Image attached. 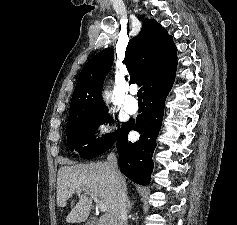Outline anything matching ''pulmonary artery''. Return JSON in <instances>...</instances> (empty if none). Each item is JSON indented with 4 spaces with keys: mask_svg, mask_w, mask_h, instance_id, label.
I'll use <instances>...</instances> for the list:
<instances>
[{
    "mask_svg": "<svg viewBox=\"0 0 237 225\" xmlns=\"http://www.w3.org/2000/svg\"><path fill=\"white\" fill-rule=\"evenodd\" d=\"M134 94L135 89H131L129 95L125 100L124 108L129 114H135L138 110V102L135 99Z\"/></svg>",
    "mask_w": 237,
    "mask_h": 225,
    "instance_id": "1",
    "label": "pulmonary artery"
}]
</instances>
